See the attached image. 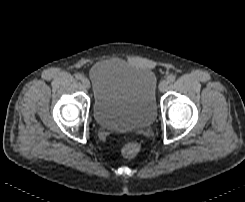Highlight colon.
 Listing matches in <instances>:
<instances>
[{
	"instance_id": "1",
	"label": "colon",
	"mask_w": 245,
	"mask_h": 202,
	"mask_svg": "<svg viewBox=\"0 0 245 202\" xmlns=\"http://www.w3.org/2000/svg\"><path fill=\"white\" fill-rule=\"evenodd\" d=\"M140 152V145L135 141H126L121 146V153L125 158H134Z\"/></svg>"
}]
</instances>
